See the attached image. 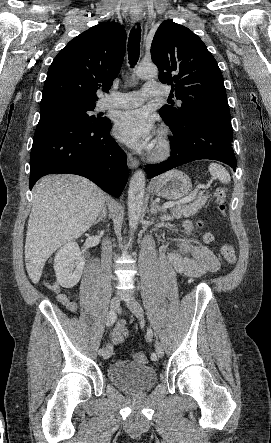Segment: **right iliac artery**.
<instances>
[{
  "instance_id": "obj_1",
  "label": "right iliac artery",
  "mask_w": 271,
  "mask_h": 443,
  "mask_svg": "<svg viewBox=\"0 0 271 443\" xmlns=\"http://www.w3.org/2000/svg\"><path fill=\"white\" fill-rule=\"evenodd\" d=\"M115 320H116V313L111 310L108 313V316H107V327H111L114 324ZM98 354L99 355H103L104 354V349H100L98 351Z\"/></svg>"
}]
</instances>
